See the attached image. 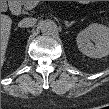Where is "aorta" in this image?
I'll use <instances>...</instances> for the list:
<instances>
[{
	"mask_svg": "<svg viewBox=\"0 0 109 109\" xmlns=\"http://www.w3.org/2000/svg\"><path fill=\"white\" fill-rule=\"evenodd\" d=\"M39 27L44 35H52L57 31V25L53 20H43Z\"/></svg>",
	"mask_w": 109,
	"mask_h": 109,
	"instance_id": "1",
	"label": "aorta"
}]
</instances>
